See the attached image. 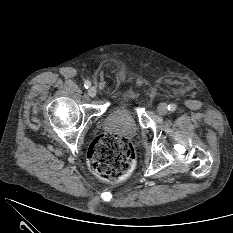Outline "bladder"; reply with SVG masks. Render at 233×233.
I'll return each instance as SVG.
<instances>
[{
	"label": "bladder",
	"instance_id": "1",
	"mask_svg": "<svg viewBox=\"0 0 233 233\" xmlns=\"http://www.w3.org/2000/svg\"><path fill=\"white\" fill-rule=\"evenodd\" d=\"M139 97V92L133 87L126 88L121 94V100L125 103L133 102ZM137 131L136 122L133 121L131 125V133L134 134Z\"/></svg>",
	"mask_w": 233,
	"mask_h": 233
}]
</instances>
